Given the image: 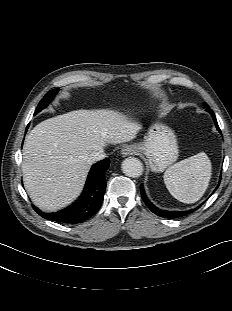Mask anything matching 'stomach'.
I'll return each instance as SVG.
<instances>
[{
  "instance_id": "0dacf381",
  "label": "stomach",
  "mask_w": 232,
  "mask_h": 311,
  "mask_svg": "<svg viewBox=\"0 0 232 311\" xmlns=\"http://www.w3.org/2000/svg\"><path fill=\"white\" fill-rule=\"evenodd\" d=\"M135 147L146 155L153 172H162L173 164L179 156L174 131L162 123L152 125L145 140Z\"/></svg>"
}]
</instances>
